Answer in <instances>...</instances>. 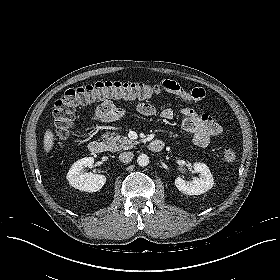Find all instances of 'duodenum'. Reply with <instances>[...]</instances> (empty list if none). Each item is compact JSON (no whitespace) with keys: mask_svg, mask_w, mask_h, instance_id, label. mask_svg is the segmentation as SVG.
<instances>
[{"mask_svg":"<svg viewBox=\"0 0 280 280\" xmlns=\"http://www.w3.org/2000/svg\"><path fill=\"white\" fill-rule=\"evenodd\" d=\"M164 148V143L161 140H153L149 144V149L152 152H161ZM88 150L90 153L95 155H101L105 152V144L100 140H93L88 144Z\"/></svg>","mask_w":280,"mask_h":280,"instance_id":"obj_1","label":"duodenum"}]
</instances>
